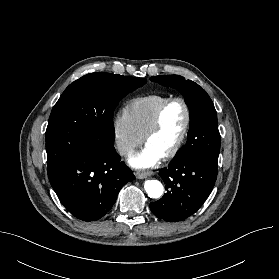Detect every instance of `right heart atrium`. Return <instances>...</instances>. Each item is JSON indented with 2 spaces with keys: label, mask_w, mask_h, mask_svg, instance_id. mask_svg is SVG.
I'll use <instances>...</instances> for the list:
<instances>
[{
  "label": "right heart atrium",
  "mask_w": 279,
  "mask_h": 279,
  "mask_svg": "<svg viewBox=\"0 0 279 279\" xmlns=\"http://www.w3.org/2000/svg\"><path fill=\"white\" fill-rule=\"evenodd\" d=\"M113 132L117 151L122 156L131 154L142 141V135L132 126L125 112L115 116Z\"/></svg>",
  "instance_id": "d8ad5b80"
}]
</instances>
